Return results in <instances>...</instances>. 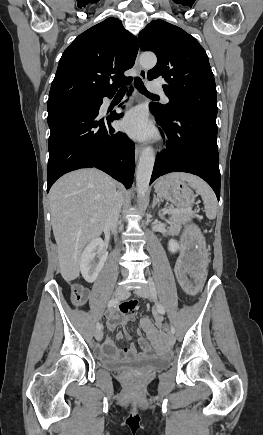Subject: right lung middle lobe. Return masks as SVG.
Segmentation results:
<instances>
[{"label": "right lung middle lobe", "mask_w": 263, "mask_h": 435, "mask_svg": "<svg viewBox=\"0 0 263 435\" xmlns=\"http://www.w3.org/2000/svg\"><path fill=\"white\" fill-rule=\"evenodd\" d=\"M98 103V99L94 100H85V101H77V102H70V103H64V104H57V105H51L47 106L48 114L61 110L66 108H74V107H86V106H94Z\"/></svg>", "instance_id": "obj_1"}]
</instances>
